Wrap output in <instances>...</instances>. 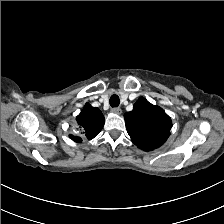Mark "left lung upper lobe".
<instances>
[{
  "mask_svg": "<svg viewBox=\"0 0 224 224\" xmlns=\"http://www.w3.org/2000/svg\"><path fill=\"white\" fill-rule=\"evenodd\" d=\"M127 132L132 142L150 151L165 143L172 128L171 118L159 106L140 97L131 112L124 115Z\"/></svg>",
  "mask_w": 224,
  "mask_h": 224,
  "instance_id": "left-lung-upper-lobe-1",
  "label": "left lung upper lobe"
}]
</instances>
